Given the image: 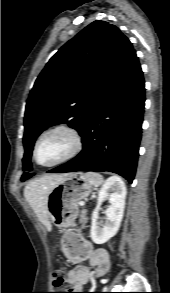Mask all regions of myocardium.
Returning <instances> with one entry per match:
<instances>
[{
  "label": "myocardium",
  "instance_id": "1",
  "mask_svg": "<svg viewBox=\"0 0 170 293\" xmlns=\"http://www.w3.org/2000/svg\"><path fill=\"white\" fill-rule=\"evenodd\" d=\"M58 130L66 131L67 133H69L71 135V137L73 139V147H72L71 151L66 156H64L63 158H61L53 163L44 164V163L39 162L37 159V149H38L40 142L47 135H49L52 132L58 131ZM82 148H83L82 136L75 128H73L69 125H66V124H57V125H54V126L48 128L47 130H45L37 138V140L35 141L34 146H33L32 155H33V160L37 165L49 168V167H55V166L61 165L63 163H66V162L74 159L81 152Z\"/></svg>",
  "mask_w": 170,
  "mask_h": 293
}]
</instances>
